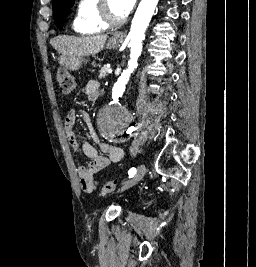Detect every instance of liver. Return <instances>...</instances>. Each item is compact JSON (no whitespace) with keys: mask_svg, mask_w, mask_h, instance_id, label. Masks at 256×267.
Segmentation results:
<instances>
[{"mask_svg":"<svg viewBox=\"0 0 256 267\" xmlns=\"http://www.w3.org/2000/svg\"><path fill=\"white\" fill-rule=\"evenodd\" d=\"M120 32H115L117 36ZM107 34H96V36H57L50 40L51 46L58 50L63 56H94L104 48Z\"/></svg>","mask_w":256,"mask_h":267,"instance_id":"6515ba94","label":"liver"}]
</instances>
